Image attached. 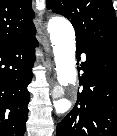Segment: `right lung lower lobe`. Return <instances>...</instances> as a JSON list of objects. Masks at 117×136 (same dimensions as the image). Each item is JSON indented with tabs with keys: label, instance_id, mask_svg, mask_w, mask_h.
<instances>
[{
	"label": "right lung lower lobe",
	"instance_id": "right-lung-lower-lobe-1",
	"mask_svg": "<svg viewBox=\"0 0 117 136\" xmlns=\"http://www.w3.org/2000/svg\"><path fill=\"white\" fill-rule=\"evenodd\" d=\"M36 30L0 47V136H23L28 118Z\"/></svg>",
	"mask_w": 117,
	"mask_h": 136
}]
</instances>
